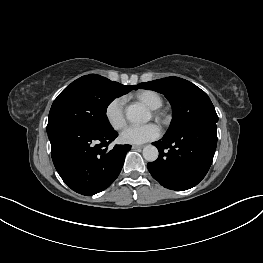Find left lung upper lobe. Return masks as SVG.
Returning a JSON list of instances; mask_svg holds the SVG:
<instances>
[{
	"instance_id": "left-lung-upper-lobe-1",
	"label": "left lung upper lobe",
	"mask_w": 263,
	"mask_h": 263,
	"mask_svg": "<svg viewBox=\"0 0 263 263\" xmlns=\"http://www.w3.org/2000/svg\"><path fill=\"white\" fill-rule=\"evenodd\" d=\"M150 89L164 94L173 108V119L166 135L195 126L215 125L218 116L208 97L193 83L178 77H167L140 83L136 89Z\"/></svg>"
}]
</instances>
